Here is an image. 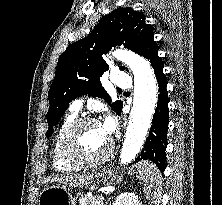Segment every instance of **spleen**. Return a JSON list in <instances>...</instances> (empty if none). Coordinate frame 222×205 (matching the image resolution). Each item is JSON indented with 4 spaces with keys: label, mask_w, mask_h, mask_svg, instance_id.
I'll return each mask as SVG.
<instances>
[{
    "label": "spleen",
    "mask_w": 222,
    "mask_h": 205,
    "mask_svg": "<svg viewBox=\"0 0 222 205\" xmlns=\"http://www.w3.org/2000/svg\"><path fill=\"white\" fill-rule=\"evenodd\" d=\"M140 179L144 182V192L147 198L155 200L162 187V176L158 168L150 161L137 164Z\"/></svg>",
    "instance_id": "spleen-1"
}]
</instances>
